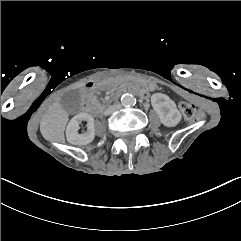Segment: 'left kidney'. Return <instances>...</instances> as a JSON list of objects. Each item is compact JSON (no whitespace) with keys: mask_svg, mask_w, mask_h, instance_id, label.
<instances>
[{"mask_svg":"<svg viewBox=\"0 0 241 241\" xmlns=\"http://www.w3.org/2000/svg\"><path fill=\"white\" fill-rule=\"evenodd\" d=\"M151 104L160 121L167 127L176 126L181 120V113L167 95L155 93L151 96Z\"/></svg>","mask_w":241,"mask_h":241,"instance_id":"obj_1","label":"left kidney"}]
</instances>
